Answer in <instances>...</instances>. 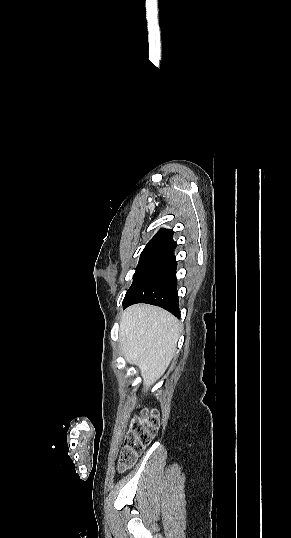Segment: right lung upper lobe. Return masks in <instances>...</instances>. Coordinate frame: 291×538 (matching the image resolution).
<instances>
[{
    "label": "right lung upper lobe",
    "mask_w": 291,
    "mask_h": 538,
    "mask_svg": "<svg viewBox=\"0 0 291 538\" xmlns=\"http://www.w3.org/2000/svg\"><path fill=\"white\" fill-rule=\"evenodd\" d=\"M177 243L173 241V231L161 229L145 246L144 250L149 249H167L174 250ZM143 250V251H144Z\"/></svg>",
    "instance_id": "right-lung-upper-lobe-1"
}]
</instances>
